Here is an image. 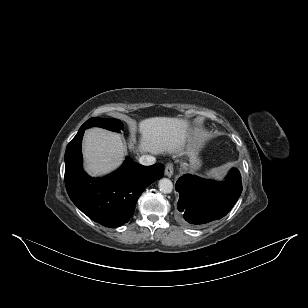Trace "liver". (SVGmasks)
<instances>
[{"instance_id": "1", "label": "liver", "mask_w": 308, "mask_h": 308, "mask_svg": "<svg viewBox=\"0 0 308 308\" xmlns=\"http://www.w3.org/2000/svg\"><path fill=\"white\" fill-rule=\"evenodd\" d=\"M139 153L177 154L189 140L188 122L180 118L152 117L139 122ZM85 169L92 176H103L116 170L125 156L120 135L101 128L89 129L84 136Z\"/></svg>"}]
</instances>
